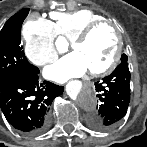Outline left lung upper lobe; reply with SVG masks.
<instances>
[{"instance_id":"obj_1","label":"left lung upper lobe","mask_w":147,"mask_h":147,"mask_svg":"<svg viewBox=\"0 0 147 147\" xmlns=\"http://www.w3.org/2000/svg\"><path fill=\"white\" fill-rule=\"evenodd\" d=\"M127 59H128L127 56L125 54H123L121 57V62L127 61Z\"/></svg>"}]
</instances>
